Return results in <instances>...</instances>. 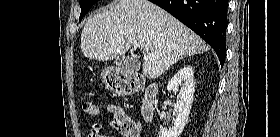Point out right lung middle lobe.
<instances>
[{
    "mask_svg": "<svg viewBox=\"0 0 280 137\" xmlns=\"http://www.w3.org/2000/svg\"><path fill=\"white\" fill-rule=\"evenodd\" d=\"M99 0H80L81 14L79 21L88 13L90 8Z\"/></svg>",
    "mask_w": 280,
    "mask_h": 137,
    "instance_id": "dd1d6c3e",
    "label": "right lung middle lobe"
}]
</instances>
